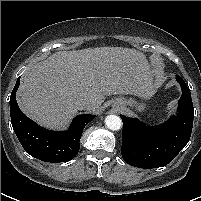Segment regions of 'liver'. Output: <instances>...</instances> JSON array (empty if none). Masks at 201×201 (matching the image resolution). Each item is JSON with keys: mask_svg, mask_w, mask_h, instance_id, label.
I'll list each match as a JSON object with an SVG mask.
<instances>
[{"mask_svg": "<svg viewBox=\"0 0 201 201\" xmlns=\"http://www.w3.org/2000/svg\"><path fill=\"white\" fill-rule=\"evenodd\" d=\"M152 80L146 56L135 49L60 51L27 69L18 103L41 126L60 129L76 115L78 101L90 100L98 108L105 96L141 95L150 89Z\"/></svg>", "mask_w": 201, "mask_h": 201, "instance_id": "obj_1", "label": "liver"}]
</instances>
